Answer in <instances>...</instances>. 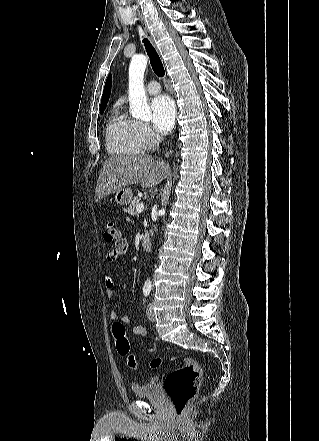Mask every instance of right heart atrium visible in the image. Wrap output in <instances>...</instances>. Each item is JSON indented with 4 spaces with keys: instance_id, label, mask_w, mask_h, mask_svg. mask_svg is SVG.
Returning a JSON list of instances; mask_svg holds the SVG:
<instances>
[{
    "instance_id": "obj_1",
    "label": "right heart atrium",
    "mask_w": 319,
    "mask_h": 441,
    "mask_svg": "<svg viewBox=\"0 0 319 441\" xmlns=\"http://www.w3.org/2000/svg\"><path fill=\"white\" fill-rule=\"evenodd\" d=\"M135 133L142 150H149L156 146L159 137L145 123L135 121Z\"/></svg>"
}]
</instances>
